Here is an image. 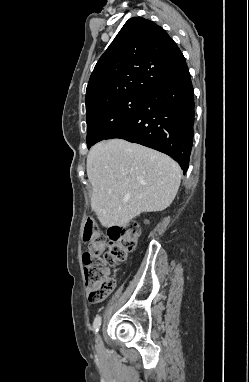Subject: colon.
<instances>
[{
	"mask_svg": "<svg viewBox=\"0 0 249 382\" xmlns=\"http://www.w3.org/2000/svg\"><path fill=\"white\" fill-rule=\"evenodd\" d=\"M94 219L88 217L83 226V239L89 243L88 251L83 254L84 274L89 289L88 298L100 302L108 297L115 288V281L108 276V266L125 262L135 251L140 235V226L130 222L124 227H113L109 233V242L99 235ZM106 247H108L107 251Z\"/></svg>",
	"mask_w": 249,
	"mask_h": 382,
	"instance_id": "colon-1",
	"label": "colon"
}]
</instances>
